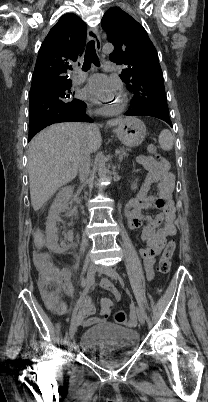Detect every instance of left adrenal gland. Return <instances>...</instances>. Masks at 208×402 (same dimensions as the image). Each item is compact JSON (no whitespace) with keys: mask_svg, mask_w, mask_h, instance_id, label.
Here are the masks:
<instances>
[{"mask_svg":"<svg viewBox=\"0 0 208 402\" xmlns=\"http://www.w3.org/2000/svg\"><path fill=\"white\" fill-rule=\"evenodd\" d=\"M118 168H120V166H118ZM114 170H115V166H114Z\"/></svg>","mask_w":208,"mask_h":402,"instance_id":"a2214340","label":"left adrenal gland"}]
</instances>
